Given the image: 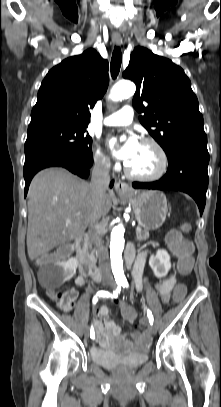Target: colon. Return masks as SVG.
I'll list each match as a JSON object with an SVG mask.
<instances>
[{
  "label": "colon",
  "mask_w": 221,
  "mask_h": 407,
  "mask_svg": "<svg viewBox=\"0 0 221 407\" xmlns=\"http://www.w3.org/2000/svg\"><path fill=\"white\" fill-rule=\"evenodd\" d=\"M188 230L184 226L183 231ZM183 231L175 230L168 234L167 243L171 250L179 257L178 272L181 279H186L194 262V243L190 239L183 238ZM67 246H54L53 252H44L43 259H36L35 266H42V261H66L68 258ZM42 258V257H41ZM48 295L56 301L59 308L69 310L74 303V298L68 291H47ZM188 296V285L186 282H177L173 285L169 295L172 304H183ZM120 317L125 322H132L133 327L138 320V313L134 305H121Z\"/></svg>",
  "instance_id": "1"
}]
</instances>
